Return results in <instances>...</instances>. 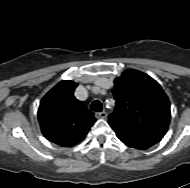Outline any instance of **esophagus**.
Masks as SVG:
<instances>
[{
  "label": "esophagus",
  "instance_id": "esophagus-1",
  "mask_svg": "<svg viewBox=\"0 0 190 188\" xmlns=\"http://www.w3.org/2000/svg\"><path fill=\"white\" fill-rule=\"evenodd\" d=\"M95 117L97 119H105L107 117V113L105 111L102 112H96Z\"/></svg>",
  "mask_w": 190,
  "mask_h": 188
}]
</instances>
